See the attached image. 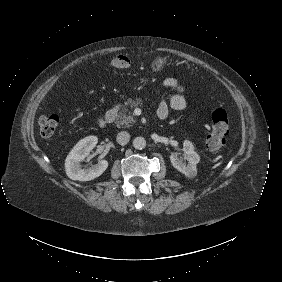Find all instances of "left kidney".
<instances>
[{"instance_id":"left-kidney-1","label":"left kidney","mask_w":282,"mask_h":282,"mask_svg":"<svg viewBox=\"0 0 282 282\" xmlns=\"http://www.w3.org/2000/svg\"><path fill=\"white\" fill-rule=\"evenodd\" d=\"M184 158L179 157V153L175 152L170 155V161L174 168L183 173L188 178H194L197 175V164L200 161V156L195 152L194 145L189 140H184L183 143ZM188 161V164L184 162Z\"/></svg>"}]
</instances>
